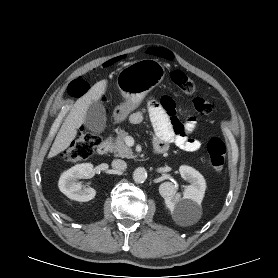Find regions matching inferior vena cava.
Listing matches in <instances>:
<instances>
[{
    "instance_id": "602c4592",
    "label": "inferior vena cava",
    "mask_w": 278,
    "mask_h": 278,
    "mask_svg": "<svg viewBox=\"0 0 278 278\" xmlns=\"http://www.w3.org/2000/svg\"><path fill=\"white\" fill-rule=\"evenodd\" d=\"M112 167L117 170H125L127 168V164L124 160L114 159L112 161Z\"/></svg>"
}]
</instances>
